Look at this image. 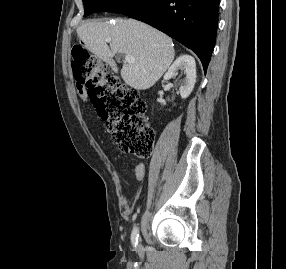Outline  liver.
I'll list each match as a JSON object with an SVG mask.
<instances>
[{"mask_svg": "<svg viewBox=\"0 0 286 269\" xmlns=\"http://www.w3.org/2000/svg\"><path fill=\"white\" fill-rule=\"evenodd\" d=\"M87 48L104 61L115 53L131 55L134 63L121 69V77L130 87L145 90L152 87L174 60L172 39L157 29L133 19L88 21L77 28ZM110 38V47L106 39Z\"/></svg>", "mask_w": 286, "mask_h": 269, "instance_id": "1", "label": "liver"}]
</instances>
